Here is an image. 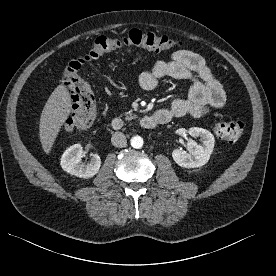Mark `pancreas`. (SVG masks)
Wrapping results in <instances>:
<instances>
[{
	"instance_id": "pancreas-1",
	"label": "pancreas",
	"mask_w": 276,
	"mask_h": 276,
	"mask_svg": "<svg viewBox=\"0 0 276 276\" xmlns=\"http://www.w3.org/2000/svg\"><path fill=\"white\" fill-rule=\"evenodd\" d=\"M135 118H137V115L133 114L132 112L129 111V112L125 113V119L126 120L130 121V120L135 119Z\"/></svg>"
}]
</instances>
